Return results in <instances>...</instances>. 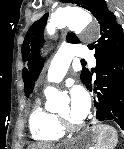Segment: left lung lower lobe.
<instances>
[{
    "label": "left lung lower lobe",
    "mask_w": 124,
    "mask_h": 149,
    "mask_svg": "<svg viewBox=\"0 0 124 149\" xmlns=\"http://www.w3.org/2000/svg\"><path fill=\"white\" fill-rule=\"evenodd\" d=\"M94 71L96 119L115 121L124 130V49L98 61Z\"/></svg>",
    "instance_id": "obj_1"
}]
</instances>
